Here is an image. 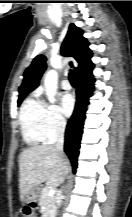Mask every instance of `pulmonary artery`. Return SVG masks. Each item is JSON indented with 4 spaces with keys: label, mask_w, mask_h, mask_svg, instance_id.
<instances>
[{
    "label": "pulmonary artery",
    "mask_w": 132,
    "mask_h": 217,
    "mask_svg": "<svg viewBox=\"0 0 132 217\" xmlns=\"http://www.w3.org/2000/svg\"><path fill=\"white\" fill-rule=\"evenodd\" d=\"M61 86H62V88L65 89V90H70V89H71V85H70V83H69L68 80H63V81L61 82Z\"/></svg>",
    "instance_id": "pulmonary-artery-1"
}]
</instances>
